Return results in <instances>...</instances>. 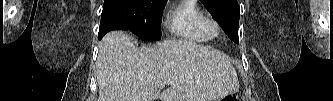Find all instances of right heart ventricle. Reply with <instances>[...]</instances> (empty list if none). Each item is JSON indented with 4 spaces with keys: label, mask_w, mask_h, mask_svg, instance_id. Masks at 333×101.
<instances>
[{
    "label": "right heart ventricle",
    "mask_w": 333,
    "mask_h": 101,
    "mask_svg": "<svg viewBox=\"0 0 333 101\" xmlns=\"http://www.w3.org/2000/svg\"><path fill=\"white\" fill-rule=\"evenodd\" d=\"M206 12L195 0H183L170 14L169 30L177 37L195 42H207L211 34L206 27Z\"/></svg>",
    "instance_id": "e07e8e85"
}]
</instances>
